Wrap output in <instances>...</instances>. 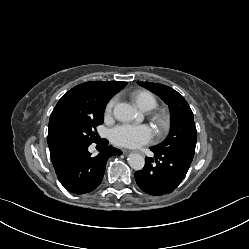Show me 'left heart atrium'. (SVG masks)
<instances>
[{"instance_id":"39dd6f15","label":"left heart atrium","mask_w":249,"mask_h":249,"mask_svg":"<svg viewBox=\"0 0 249 249\" xmlns=\"http://www.w3.org/2000/svg\"><path fill=\"white\" fill-rule=\"evenodd\" d=\"M153 131L147 125L121 124L110 131L111 141L118 146L137 148L149 143Z\"/></svg>"}]
</instances>
